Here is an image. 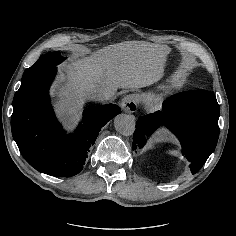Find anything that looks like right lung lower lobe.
<instances>
[{
    "mask_svg": "<svg viewBox=\"0 0 236 236\" xmlns=\"http://www.w3.org/2000/svg\"><path fill=\"white\" fill-rule=\"evenodd\" d=\"M56 66L36 72L21 82L13 99L11 130L24 159L36 170L57 177H71L83 169L98 132L121 112L115 104L84 111L75 133L67 135L55 118L48 90Z\"/></svg>",
    "mask_w": 236,
    "mask_h": 236,
    "instance_id": "right-lung-lower-lobe-1",
    "label": "right lung lower lobe"
}]
</instances>
